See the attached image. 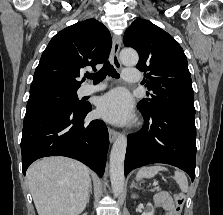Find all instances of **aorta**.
Masks as SVG:
<instances>
[{
    "mask_svg": "<svg viewBox=\"0 0 223 215\" xmlns=\"http://www.w3.org/2000/svg\"><path fill=\"white\" fill-rule=\"evenodd\" d=\"M120 58L124 66H136L139 60L137 52L131 50V48L122 50ZM126 147L127 137H125L123 133H119L112 145L109 163L110 179L114 195H120L124 187V159Z\"/></svg>",
    "mask_w": 223,
    "mask_h": 215,
    "instance_id": "obj_1",
    "label": "aorta"
}]
</instances>
